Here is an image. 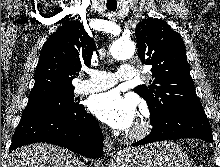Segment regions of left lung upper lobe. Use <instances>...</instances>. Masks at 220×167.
Masks as SVG:
<instances>
[{
  "instance_id": "5c2ea615",
  "label": "left lung upper lobe",
  "mask_w": 220,
  "mask_h": 167,
  "mask_svg": "<svg viewBox=\"0 0 220 167\" xmlns=\"http://www.w3.org/2000/svg\"><path fill=\"white\" fill-rule=\"evenodd\" d=\"M135 36L139 58L152 66V80L134 91L148 103L151 117L157 118L175 105H201L180 34L163 20L147 18L137 25Z\"/></svg>"
}]
</instances>
